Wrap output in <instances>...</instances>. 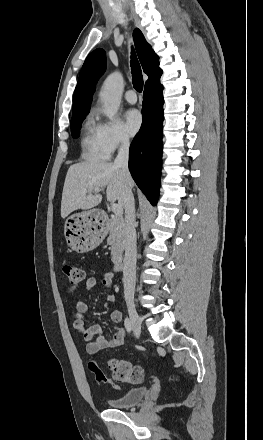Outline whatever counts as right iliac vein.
Wrapping results in <instances>:
<instances>
[{
	"mask_svg": "<svg viewBox=\"0 0 263 440\" xmlns=\"http://www.w3.org/2000/svg\"><path fill=\"white\" fill-rule=\"evenodd\" d=\"M127 306L134 335L139 337L141 334V319L132 300L127 301Z\"/></svg>",
	"mask_w": 263,
	"mask_h": 440,
	"instance_id": "obj_1",
	"label": "right iliac vein"
}]
</instances>
